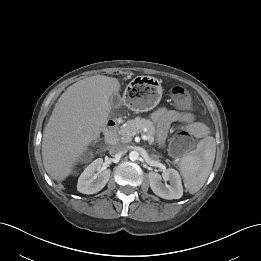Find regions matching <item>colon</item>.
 I'll list each match as a JSON object with an SVG mask.
<instances>
[{
  "label": "colon",
  "mask_w": 261,
  "mask_h": 261,
  "mask_svg": "<svg viewBox=\"0 0 261 261\" xmlns=\"http://www.w3.org/2000/svg\"><path fill=\"white\" fill-rule=\"evenodd\" d=\"M171 94L180 107L189 109L193 106V96L187 88L175 86L171 89ZM191 133L190 130H182L174 136L170 144V150L173 154L182 155L192 148L194 140Z\"/></svg>",
  "instance_id": "obj_1"
}]
</instances>
